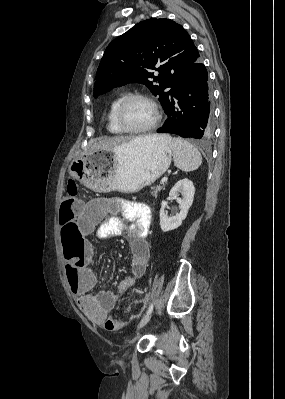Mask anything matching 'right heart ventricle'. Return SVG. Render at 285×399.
Instances as JSON below:
<instances>
[{
  "label": "right heart ventricle",
  "instance_id": "1",
  "mask_svg": "<svg viewBox=\"0 0 285 399\" xmlns=\"http://www.w3.org/2000/svg\"><path fill=\"white\" fill-rule=\"evenodd\" d=\"M128 96L127 92L122 91L117 94L110 102L107 112V127L108 130L116 135L127 133L118 125L117 109L120 103Z\"/></svg>",
  "mask_w": 285,
  "mask_h": 399
}]
</instances>
